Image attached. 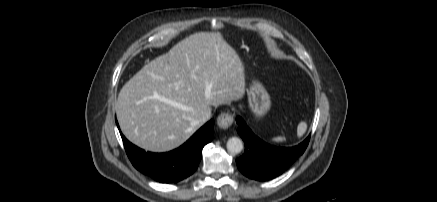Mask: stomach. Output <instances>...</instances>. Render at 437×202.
Returning <instances> with one entry per match:
<instances>
[{
	"label": "stomach",
	"mask_w": 437,
	"mask_h": 202,
	"mask_svg": "<svg viewBox=\"0 0 437 202\" xmlns=\"http://www.w3.org/2000/svg\"><path fill=\"white\" fill-rule=\"evenodd\" d=\"M247 95L249 106L257 117H262L270 109V97L260 83L254 82L247 91Z\"/></svg>",
	"instance_id": "0dacf381"
}]
</instances>
